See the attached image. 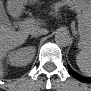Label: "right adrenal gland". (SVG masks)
I'll list each match as a JSON object with an SVG mask.
<instances>
[{"mask_svg": "<svg viewBox=\"0 0 91 91\" xmlns=\"http://www.w3.org/2000/svg\"><path fill=\"white\" fill-rule=\"evenodd\" d=\"M38 36H31L30 38H37Z\"/></svg>", "mask_w": 91, "mask_h": 91, "instance_id": "2a0ac1e0", "label": "right adrenal gland"}]
</instances>
